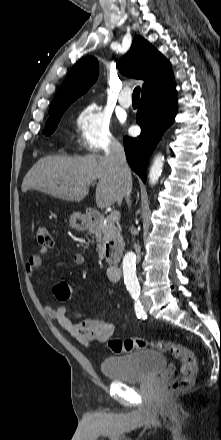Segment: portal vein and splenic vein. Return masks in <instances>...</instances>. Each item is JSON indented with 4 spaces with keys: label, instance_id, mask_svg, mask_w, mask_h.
Here are the masks:
<instances>
[{
    "label": "portal vein and splenic vein",
    "instance_id": "obj_1",
    "mask_svg": "<svg viewBox=\"0 0 221 440\" xmlns=\"http://www.w3.org/2000/svg\"><path fill=\"white\" fill-rule=\"evenodd\" d=\"M109 219H110L111 221H113V222H117V221H119V219H120V212H119V211H116V210L112 211V212L110 213Z\"/></svg>",
    "mask_w": 221,
    "mask_h": 440
}]
</instances>
